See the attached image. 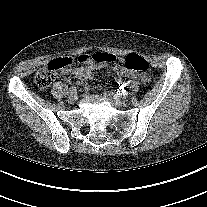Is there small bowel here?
Listing matches in <instances>:
<instances>
[{
    "mask_svg": "<svg viewBox=\"0 0 207 207\" xmlns=\"http://www.w3.org/2000/svg\"><path fill=\"white\" fill-rule=\"evenodd\" d=\"M81 67L74 71V74L81 81L88 83L93 78V70L97 67V62L89 57V54H83L78 58ZM115 72L120 76L127 78H135L136 74L126 69L122 64H118L114 67ZM140 80L147 82L149 80L147 75H141Z\"/></svg>",
    "mask_w": 207,
    "mask_h": 207,
    "instance_id": "small-bowel-1",
    "label": "small bowel"
}]
</instances>
